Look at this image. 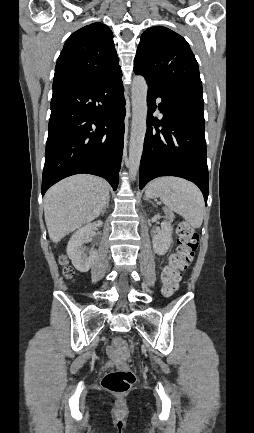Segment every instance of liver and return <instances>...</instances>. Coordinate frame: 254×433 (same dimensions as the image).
<instances>
[{
    "instance_id": "obj_1",
    "label": "liver",
    "mask_w": 254,
    "mask_h": 433,
    "mask_svg": "<svg viewBox=\"0 0 254 433\" xmlns=\"http://www.w3.org/2000/svg\"><path fill=\"white\" fill-rule=\"evenodd\" d=\"M108 197V184L92 175H75L52 186L44 198L50 239L58 243L67 234L97 218Z\"/></svg>"
}]
</instances>
